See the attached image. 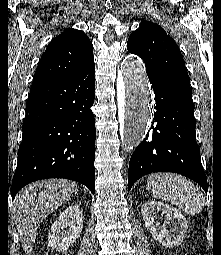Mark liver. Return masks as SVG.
Listing matches in <instances>:
<instances>
[{"label":"liver","instance_id":"1","mask_svg":"<svg viewBox=\"0 0 221 255\" xmlns=\"http://www.w3.org/2000/svg\"><path fill=\"white\" fill-rule=\"evenodd\" d=\"M78 191L77 184L65 179H48L29 184L15 197L12 212L22 248L31 255L36 232L43 219Z\"/></svg>","mask_w":221,"mask_h":255}]
</instances>
